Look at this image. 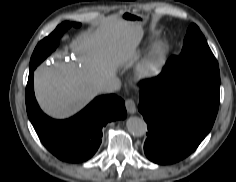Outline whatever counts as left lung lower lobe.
Listing matches in <instances>:
<instances>
[{
  "mask_svg": "<svg viewBox=\"0 0 236 182\" xmlns=\"http://www.w3.org/2000/svg\"><path fill=\"white\" fill-rule=\"evenodd\" d=\"M220 85L171 80L167 65L140 91L138 110L148 124L144 152L157 164L191 154L211 130L219 107Z\"/></svg>",
  "mask_w": 236,
  "mask_h": 182,
  "instance_id": "0a47b994",
  "label": "left lung lower lobe"
}]
</instances>
